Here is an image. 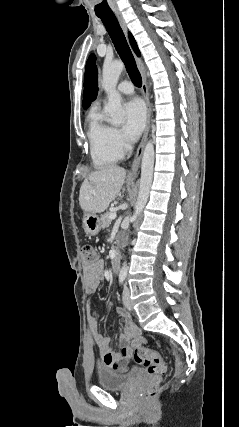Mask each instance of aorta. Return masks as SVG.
<instances>
[{"label": "aorta", "instance_id": "aorta-1", "mask_svg": "<svg viewBox=\"0 0 239 427\" xmlns=\"http://www.w3.org/2000/svg\"><path fill=\"white\" fill-rule=\"evenodd\" d=\"M123 69L124 63L122 61H114L104 64L102 71L101 84L108 95L105 113L111 118V122L114 125H120L125 118V112L121 104V96L116 90V85ZM154 154V144L153 141L150 140L145 146L142 157L140 188L135 204V212L133 214L134 220L142 213L149 198L153 178ZM127 273L128 266L125 262L120 270V276L126 277Z\"/></svg>", "mask_w": 239, "mask_h": 427}]
</instances>
